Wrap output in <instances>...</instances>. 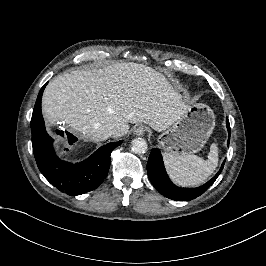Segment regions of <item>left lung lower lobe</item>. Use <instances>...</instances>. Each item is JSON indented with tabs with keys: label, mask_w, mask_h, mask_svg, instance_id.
Here are the masks:
<instances>
[{
	"label": "left lung lower lobe",
	"mask_w": 266,
	"mask_h": 266,
	"mask_svg": "<svg viewBox=\"0 0 266 266\" xmlns=\"http://www.w3.org/2000/svg\"><path fill=\"white\" fill-rule=\"evenodd\" d=\"M226 126L230 137L229 120L226 118ZM228 139V145H229ZM225 164L223 161L218 173L207 183L197 188H182L171 182L164 168L162 155L159 149L154 148L147 162V173L152 185L165 197L177 201H190L203 194L217 179Z\"/></svg>",
	"instance_id": "left-lung-lower-lobe-1"
}]
</instances>
